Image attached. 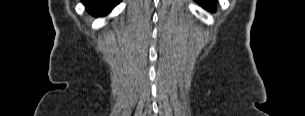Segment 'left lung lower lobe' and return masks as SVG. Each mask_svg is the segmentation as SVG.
<instances>
[{
  "label": "left lung lower lobe",
  "instance_id": "1",
  "mask_svg": "<svg viewBox=\"0 0 305 116\" xmlns=\"http://www.w3.org/2000/svg\"><path fill=\"white\" fill-rule=\"evenodd\" d=\"M196 2L199 3L206 10H209L211 12H214L216 10L214 0H196Z\"/></svg>",
  "mask_w": 305,
  "mask_h": 116
}]
</instances>
